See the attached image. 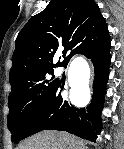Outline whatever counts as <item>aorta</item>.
<instances>
[{"label":"aorta","mask_w":124,"mask_h":149,"mask_svg":"<svg viewBox=\"0 0 124 149\" xmlns=\"http://www.w3.org/2000/svg\"><path fill=\"white\" fill-rule=\"evenodd\" d=\"M89 70L85 63L75 60L68 72V79L72 87L77 88L79 84H84L88 79ZM74 80V81H73Z\"/></svg>","instance_id":"1"}]
</instances>
